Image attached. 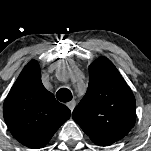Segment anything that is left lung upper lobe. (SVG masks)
<instances>
[{
  "instance_id": "left-lung-upper-lobe-1",
  "label": "left lung upper lobe",
  "mask_w": 151,
  "mask_h": 151,
  "mask_svg": "<svg viewBox=\"0 0 151 151\" xmlns=\"http://www.w3.org/2000/svg\"><path fill=\"white\" fill-rule=\"evenodd\" d=\"M135 97L114 64L100 57L89 66V86L72 117L97 145L122 139L136 121Z\"/></svg>"
}]
</instances>
